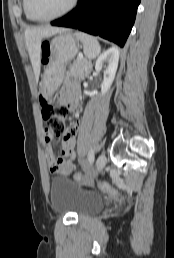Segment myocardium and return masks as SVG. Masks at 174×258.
I'll return each mask as SVG.
<instances>
[{
	"label": "myocardium",
	"instance_id": "1",
	"mask_svg": "<svg viewBox=\"0 0 174 258\" xmlns=\"http://www.w3.org/2000/svg\"><path fill=\"white\" fill-rule=\"evenodd\" d=\"M77 2L78 0H71L70 4L63 11L49 17L35 16L30 9V0H25V9L27 14L31 17L32 20L39 21V22H49V21H53L55 19L61 18L67 15L68 13H70L75 8Z\"/></svg>",
	"mask_w": 174,
	"mask_h": 258
}]
</instances>
